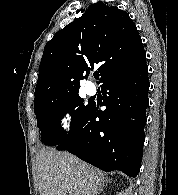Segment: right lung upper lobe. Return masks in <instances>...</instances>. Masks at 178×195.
I'll return each mask as SVG.
<instances>
[{"instance_id":"obj_1","label":"right lung upper lobe","mask_w":178,"mask_h":195,"mask_svg":"<svg viewBox=\"0 0 178 195\" xmlns=\"http://www.w3.org/2000/svg\"><path fill=\"white\" fill-rule=\"evenodd\" d=\"M146 60L129 14L97 2L58 31L45 45L35 89L34 108L78 93L80 81L99 66L101 82L128 72Z\"/></svg>"}]
</instances>
